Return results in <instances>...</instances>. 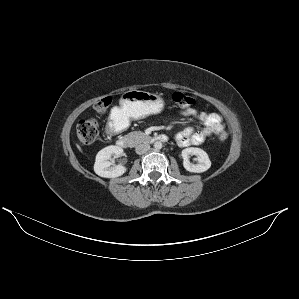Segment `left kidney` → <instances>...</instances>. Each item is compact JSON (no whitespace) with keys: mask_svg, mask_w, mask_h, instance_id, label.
<instances>
[{"mask_svg":"<svg viewBox=\"0 0 299 299\" xmlns=\"http://www.w3.org/2000/svg\"><path fill=\"white\" fill-rule=\"evenodd\" d=\"M197 156L198 164H192L189 161V157ZM183 166L189 172L202 173L207 171L211 167V161L208 154L200 148H186L182 150Z\"/></svg>","mask_w":299,"mask_h":299,"instance_id":"1","label":"left kidney"}]
</instances>
